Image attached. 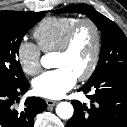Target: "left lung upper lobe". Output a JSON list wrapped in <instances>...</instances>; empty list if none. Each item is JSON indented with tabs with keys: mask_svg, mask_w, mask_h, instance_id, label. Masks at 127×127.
Returning a JSON list of instances; mask_svg holds the SVG:
<instances>
[{
	"mask_svg": "<svg viewBox=\"0 0 127 127\" xmlns=\"http://www.w3.org/2000/svg\"><path fill=\"white\" fill-rule=\"evenodd\" d=\"M68 12L87 15L102 34V47L99 62L94 73L87 82L111 70L127 69V38L113 21L87 4L73 5L53 11V13L58 14Z\"/></svg>",
	"mask_w": 127,
	"mask_h": 127,
	"instance_id": "5c2ea615",
	"label": "left lung upper lobe"
}]
</instances>
